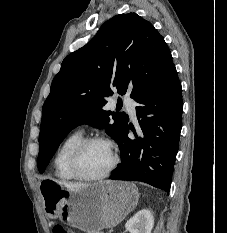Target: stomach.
<instances>
[{
	"label": "stomach",
	"instance_id": "1",
	"mask_svg": "<svg viewBox=\"0 0 227 233\" xmlns=\"http://www.w3.org/2000/svg\"><path fill=\"white\" fill-rule=\"evenodd\" d=\"M39 191L48 218H59L88 233L116 226L136 207L139 199L136 186L122 181L70 189L54 180H44Z\"/></svg>",
	"mask_w": 227,
	"mask_h": 233
}]
</instances>
